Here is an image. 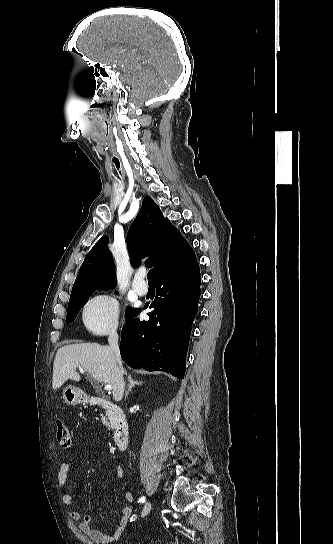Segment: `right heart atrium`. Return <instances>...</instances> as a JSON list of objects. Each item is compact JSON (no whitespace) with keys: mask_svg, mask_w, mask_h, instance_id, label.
<instances>
[{"mask_svg":"<svg viewBox=\"0 0 333 544\" xmlns=\"http://www.w3.org/2000/svg\"><path fill=\"white\" fill-rule=\"evenodd\" d=\"M120 304L112 295H99L91 299L84 308L83 321L94 334L114 333L119 325Z\"/></svg>","mask_w":333,"mask_h":544,"instance_id":"1","label":"right heart atrium"}]
</instances>
